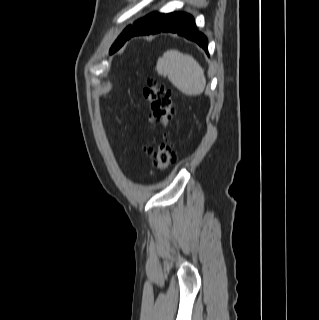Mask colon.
Segmentation results:
<instances>
[{"label":"colon","mask_w":319,"mask_h":320,"mask_svg":"<svg viewBox=\"0 0 319 320\" xmlns=\"http://www.w3.org/2000/svg\"><path fill=\"white\" fill-rule=\"evenodd\" d=\"M143 94L151 106L152 120L162 132V135L153 144L147 145L144 151L150 157L151 166L157 171H163L170 166L173 159L170 140L164 133L175 120L171 92L151 79L144 87Z\"/></svg>","instance_id":"5ec220e1"}]
</instances>
